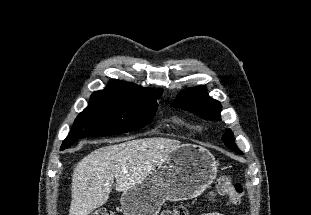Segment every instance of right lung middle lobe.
<instances>
[{
  "label": "right lung middle lobe",
  "instance_id": "1",
  "mask_svg": "<svg viewBox=\"0 0 311 215\" xmlns=\"http://www.w3.org/2000/svg\"><path fill=\"white\" fill-rule=\"evenodd\" d=\"M158 104L154 100H133L113 96H91L89 105L75 119L61 149L88 136H104L138 130L149 124Z\"/></svg>",
  "mask_w": 311,
  "mask_h": 215
}]
</instances>
